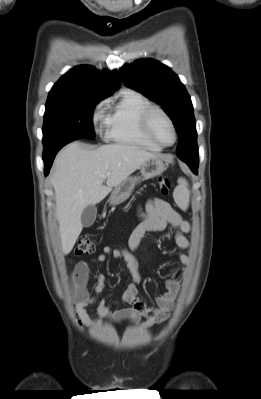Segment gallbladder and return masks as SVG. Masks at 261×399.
I'll return each instance as SVG.
<instances>
[{"instance_id": "obj_1", "label": "gallbladder", "mask_w": 261, "mask_h": 399, "mask_svg": "<svg viewBox=\"0 0 261 399\" xmlns=\"http://www.w3.org/2000/svg\"><path fill=\"white\" fill-rule=\"evenodd\" d=\"M97 208L95 205L87 206L81 214V223L83 227H91L96 220Z\"/></svg>"}]
</instances>
